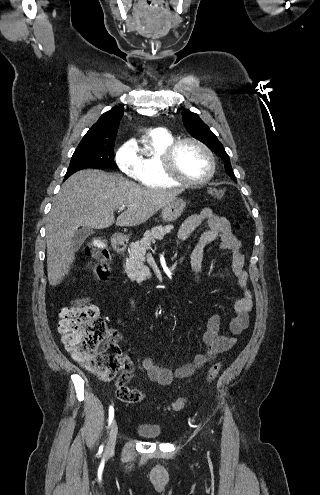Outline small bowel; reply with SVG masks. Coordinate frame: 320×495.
Segmentation results:
<instances>
[{
	"mask_svg": "<svg viewBox=\"0 0 320 495\" xmlns=\"http://www.w3.org/2000/svg\"><path fill=\"white\" fill-rule=\"evenodd\" d=\"M205 225L207 229L202 233L200 239L190 255V274L195 280L200 279L202 273V261L204 249L207 245L219 239V247L231 253V270L236 279L241 294L234 303L235 316L229 323L230 334H221V316L215 314L209 318L205 326L202 340L205 345L203 353L197 354L189 363L175 369H168L157 365L150 355L142 360V367L150 380L166 386L174 379L190 377L197 369L213 361L219 354L232 349L236 345V336L241 334L248 326V313L252 307V294L248 289V275L244 268V255L242 253L241 241L232 231L229 220L218 216L211 209L205 208L197 214L189 216L181 225L178 233L180 241L187 240L190 235L200 226ZM132 316L137 310L135 298H129ZM117 323L125 326L126 323L120 318ZM122 374L128 381L131 378L132 369L130 363L123 367Z\"/></svg>",
	"mask_w": 320,
	"mask_h": 495,
	"instance_id": "1",
	"label": "small bowel"
}]
</instances>
